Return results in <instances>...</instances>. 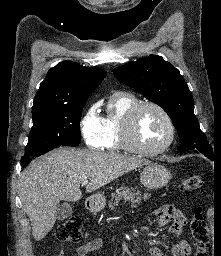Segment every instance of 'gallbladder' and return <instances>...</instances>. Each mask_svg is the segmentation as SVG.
Segmentation results:
<instances>
[{"instance_id": "bac80fb5", "label": "gallbladder", "mask_w": 221, "mask_h": 256, "mask_svg": "<svg viewBox=\"0 0 221 256\" xmlns=\"http://www.w3.org/2000/svg\"><path fill=\"white\" fill-rule=\"evenodd\" d=\"M72 214V206L70 203H62L58 205L57 219L62 221L67 219Z\"/></svg>"}]
</instances>
